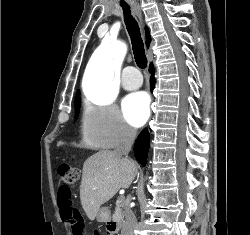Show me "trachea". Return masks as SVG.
<instances>
[{
  "label": "trachea",
  "instance_id": "3493384b",
  "mask_svg": "<svg viewBox=\"0 0 250 235\" xmlns=\"http://www.w3.org/2000/svg\"><path fill=\"white\" fill-rule=\"evenodd\" d=\"M122 9L124 12V21L126 24V28L131 38L135 62L139 68L143 69L147 66V58L145 55L144 43L141 38L138 22L131 15V10L129 6L122 5Z\"/></svg>",
  "mask_w": 250,
  "mask_h": 235
}]
</instances>
